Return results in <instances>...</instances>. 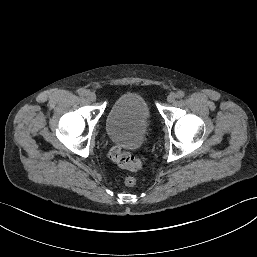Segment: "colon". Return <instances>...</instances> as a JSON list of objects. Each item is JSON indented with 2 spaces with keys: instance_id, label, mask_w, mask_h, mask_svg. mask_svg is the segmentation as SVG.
Returning a JSON list of instances; mask_svg holds the SVG:
<instances>
[{
  "instance_id": "5ec220e1",
  "label": "colon",
  "mask_w": 257,
  "mask_h": 257,
  "mask_svg": "<svg viewBox=\"0 0 257 257\" xmlns=\"http://www.w3.org/2000/svg\"><path fill=\"white\" fill-rule=\"evenodd\" d=\"M109 156L121 168L137 171L141 167V161L134 155L123 151L121 148L114 146L109 151ZM124 184L128 187H133L136 184V179L133 176H127L124 179Z\"/></svg>"
}]
</instances>
